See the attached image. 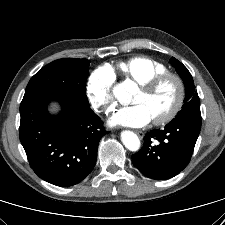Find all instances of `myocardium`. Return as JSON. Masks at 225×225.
<instances>
[{
    "instance_id": "myocardium-1",
    "label": "myocardium",
    "mask_w": 225,
    "mask_h": 225,
    "mask_svg": "<svg viewBox=\"0 0 225 225\" xmlns=\"http://www.w3.org/2000/svg\"><path fill=\"white\" fill-rule=\"evenodd\" d=\"M167 81H172L174 83L176 88V94L170 107L160 116L153 118V123L155 125H162L169 122L180 111L184 101V96H185L184 83L177 74L171 73V72H165L155 77H152L146 81H143L142 83L139 84L140 89H142L144 92L153 93L163 83Z\"/></svg>"
}]
</instances>
